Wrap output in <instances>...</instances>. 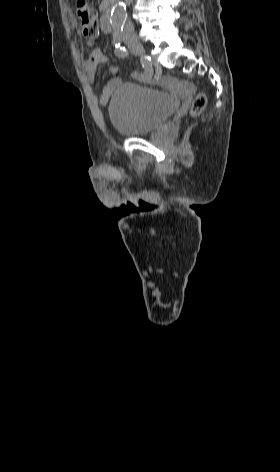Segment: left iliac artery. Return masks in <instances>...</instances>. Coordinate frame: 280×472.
<instances>
[{"instance_id": "left-iliac-artery-1", "label": "left iliac artery", "mask_w": 280, "mask_h": 472, "mask_svg": "<svg viewBox=\"0 0 280 472\" xmlns=\"http://www.w3.org/2000/svg\"><path fill=\"white\" fill-rule=\"evenodd\" d=\"M122 31L123 26L116 25L113 27V44L115 46H120V43L122 41Z\"/></svg>"}]
</instances>
